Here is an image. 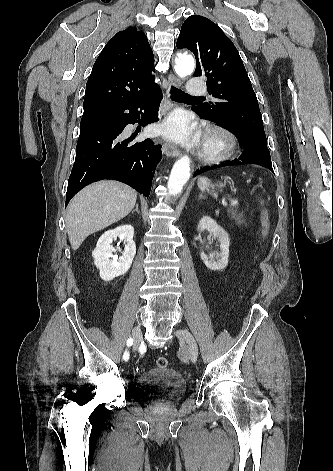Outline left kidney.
<instances>
[{
	"label": "left kidney",
	"instance_id": "obj_1",
	"mask_svg": "<svg viewBox=\"0 0 333 471\" xmlns=\"http://www.w3.org/2000/svg\"><path fill=\"white\" fill-rule=\"evenodd\" d=\"M198 231L207 230L208 232L212 233L214 238H217L220 243V258L217 261H214L212 257H208L204 252H201L200 257L207 268L210 270H223L228 265V257H229V243L230 239L225 232V230L220 227L212 218L208 216H204L199 221Z\"/></svg>",
	"mask_w": 333,
	"mask_h": 471
}]
</instances>
